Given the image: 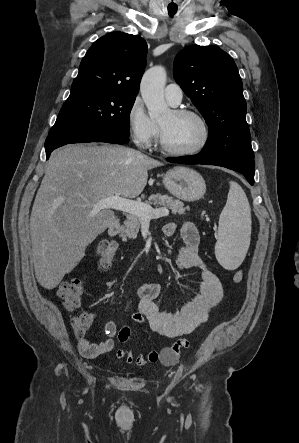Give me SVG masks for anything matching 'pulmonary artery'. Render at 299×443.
Here are the masks:
<instances>
[{
	"label": "pulmonary artery",
	"mask_w": 299,
	"mask_h": 443,
	"mask_svg": "<svg viewBox=\"0 0 299 443\" xmlns=\"http://www.w3.org/2000/svg\"><path fill=\"white\" fill-rule=\"evenodd\" d=\"M165 98L168 101V103L172 106L178 105L183 96L182 89L179 85L172 83L168 84L165 88Z\"/></svg>",
	"instance_id": "1"
}]
</instances>
